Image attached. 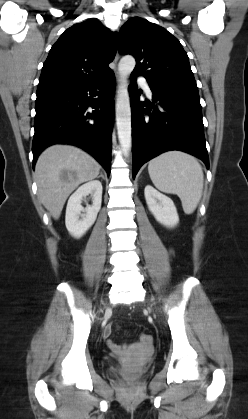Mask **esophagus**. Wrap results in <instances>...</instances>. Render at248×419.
I'll return each mask as SVG.
<instances>
[{
  "mask_svg": "<svg viewBox=\"0 0 248 419\" xmlns=\"http://www.w3.org/2000/svg\"><path fill=\"white\" fill-rule=\"evenodd\" d=\"M118 60H119V53H118V51H117V54H116L115 59H114V62H115V64H116V65H117V63H118ZM115 75H116V79H117V81H118V83H119V74H118V72H117V69H115Z\"/></svg>",
  "mask_w": 248,
  "mask_h": 419,
  "instance_id": "obj_1",
  "label": "esophagus"
}]
</instances>
